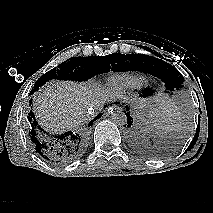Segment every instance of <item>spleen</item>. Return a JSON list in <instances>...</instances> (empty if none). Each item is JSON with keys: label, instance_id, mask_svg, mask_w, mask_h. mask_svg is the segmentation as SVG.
<instances>
[{"label": "spleen", "instance_id": "spleen-1", "mask_svg": "<svg viewBox=\"0 0 213 213\" xmlns=\"http://www.w3.org/2000/svg\"><path fill=\"white\" fill-rule=\"evenodd\" d=\"M154 124L158 129L165 131L170 130L172 124V114L165 110L158 112Z\"/></svg>", "mask_w": 213, "mask_h": 213}]
</instances>
